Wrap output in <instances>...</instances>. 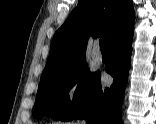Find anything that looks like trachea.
Instances as JSON below:
<instances>
[{
    "label": "trachea",
    "instance_id": "trachea-1",
    "mask_svg": "<svg viewBox=\"0 0 156 124\" xmlns=\"http://www.w3.org/2000/svg\"><path fill=\"white\" fill-rule=\"evenodd\" d=\"M99 43H100V50H107V43L105 37H102Z\"/></svg>",
    "mask_w": 156,
    "mask_h": 124
}]
</instances>
